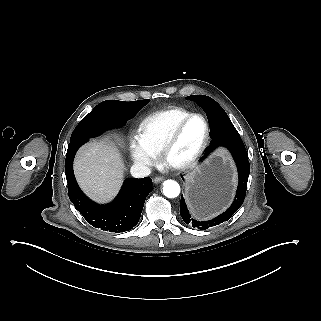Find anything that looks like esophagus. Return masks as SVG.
Instances as JSON below:
<instances>
[{
  "instance_id": "1",
  "label": "esophagus",
  "mask_w": 321,
  "mask_h": 321,
  "mask_svg": "<svg viewBox=\"0 0 321 321\" xmlns=\"http://www.w3.org/2000/svg\"><path fill=\"white\" fill-rule=\"evenodd\" d=\"M163 180H164L163 177H155V178H154V182H155V183H159V182H161V181H163Z\"/></svg>"
}]
</instances>
